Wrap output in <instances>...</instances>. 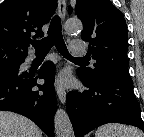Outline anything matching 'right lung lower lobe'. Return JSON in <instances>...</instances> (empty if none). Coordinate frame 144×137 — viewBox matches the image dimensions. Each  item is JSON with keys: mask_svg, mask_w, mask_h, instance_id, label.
<instances>
[{"mask_svg": "<svg viewBox=\"0 0 144 137\" xmlns=\"http://www.w3.org/2000/svg\"><path fill=\"white\" fill-rule=\"evenodd\" d=\"M54 77L52 62H45L37 73L18 71L15 75L0 76V110L24 115L49 137H54ZM37 78L45 80L44 86L37 83ZM35 87L39 90H35Z\"/></svg>", "mask_w": 144, "mask_h": 137, "instance_id": "98d812e1", "label": "right lung lower lobe"}]
</instances>
